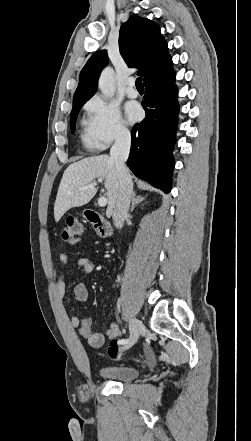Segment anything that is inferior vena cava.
Listing matches in <instances>:
<instances>
[{
    "instance_id": "obj_1",
    "label": "inferior vena cava",
    "mask_w": 251,
    "mask_h": 441,
    "mask_svg": "<svg viewBox=\"0 0 251 441\" xmlns=\"http://www.w3.org/2000/svg\"><path fill=\"white\" fill-rule=\"evenodd\" d=\"M130 146V132L126 129H121L116 136L115 143L110 149V158L115 163L119 181V191L112 212L113 222L117 229L123 227L124 221L128 216L133 190L131 176L125 165L129 156Z\"/></svg>"
}]
</instances>
